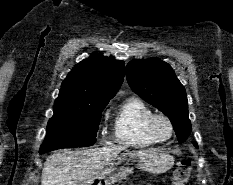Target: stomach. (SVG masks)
<instances>
[{
	"label": "stomach",
	"instance_id": "obj_1",
	"mask_svg": "<svg viewBox=\"0 0 233 185\" xmlns=\"http://www.w3.org/2000/svg\"><path fill=\"white\" fill-rule=\"evenodd\" d=\"M134 163L144 171L161 174L172 168L174 158L159 151H126L114 158L101 172L78 185H113L132 173Z\"/></svg>",
	"mask_w": 233,
	"mask_h": 185
}]
</instances>
